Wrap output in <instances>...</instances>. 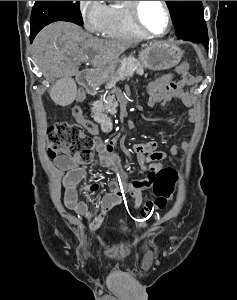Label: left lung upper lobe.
I'll list each match as a JSON object with an SVG mask.
<instances>
[{
  "label": "left lung upper lobe",
  "mask_w": 237,
  "mask_h": 300,
  "mask_svg": "<svg viewBox=\"0 0 237 300\" xmlns=\"http://www.w3.org/2000/svg\"><path fill=\"white\" fill-rule=\"evenodd\" d=\"M170 7L177 38L201 42L208 49L207 26L202 1H166Z\"/></svg>",
  "instance_id": "5c2ea615"
}]
</instances>
